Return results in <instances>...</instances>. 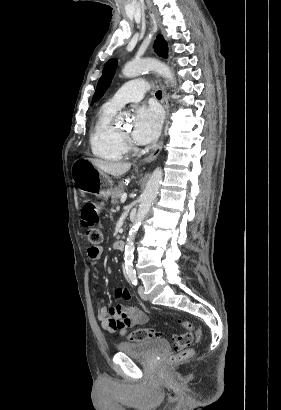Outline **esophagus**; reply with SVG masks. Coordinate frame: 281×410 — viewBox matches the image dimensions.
Segmentation results:
<instances>
[{"label": "esophagus", "mask_w": 281, "mask_h": 410, "mask_svg": "<svg viewBox=\"0 0 281 410\" xmlns=\"http://www.w3.org/2000/svg\"><path fill=\"white\" fill-rule=\"evenodd\" d=\"M160 85H161V88H162V104H163V107L165 109L166 123H167V120L169 118V103H168V98H167L165 87L161 82H160ZM163 142H164V135H162L159 143L154 148L152 153L144 159V164H148V163L154 161L157 158V156L159 155V153L162 150Z\"/></svg>", "instance_id": "34e87169"}]
</instances>
